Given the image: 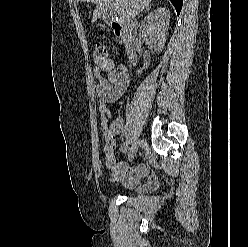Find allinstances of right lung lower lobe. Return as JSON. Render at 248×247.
Masks as SVG:
<instances>
[{
  "instance_id": "right-lung-lower-lobe-1",
  "label": "right lung lower lobe",
  "mask_w": 248,
  "mask_h": 247,
  "mask_svg": "<svg viewBox=\"0 0 248 247\" xmlns=\"http://www.w3.org/2000/svg\"><path fill=\"white\" fill-rule=\"evenodd\" d=\"M170 1L174 5V7L177 11V14L179 15L181 8H182L183 0H170Z\"/></svg>"
}]
</instances>
